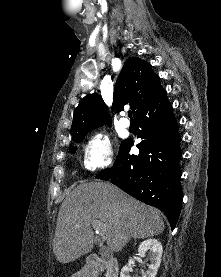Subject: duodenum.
<instances>
[{"label": "duodenum", "instance_id": "410a0bca", "mask_svg": "<svg viewBox=\"0 0 221 277\" xmlns=\"http://www.w3.org/2000/svg\"><path fill=\"white\" fill-rule=\"evenodd\" d=\"M101 271L106 277H119V265L115 258H101L97 255L88 257L82 270V277H98Z\"/></svg>", "mask_w": 221, "mask_h": 277}]
</instances>
